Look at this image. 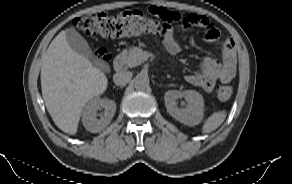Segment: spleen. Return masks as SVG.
I'll list each match as a JSON object with an SVG mask.
<instances>
[{
  "instance_id": "obj_1",
  "label": "spleen",
  "mask_w": 292,
  "mask_h": 184,
  "mask_svg": "<svg viewBox=\"0 0 292 184\" xmlns=\"http://www.w3.org/2000/svg\"><path fill=\"white\" fill-rule=\"evenodd\" d=\"M226 115L227 113L224 110L214 112L204 122L202 126V133L206 134L216 130L224 122Z\"/></svg>"
}]
</instances>
